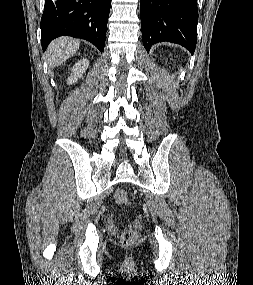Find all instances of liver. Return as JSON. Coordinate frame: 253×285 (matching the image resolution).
I'll use <instances>...</instances> for the list:
<instances>
[{"label": "liver", "instance_id": "6515ba94", "mask_svg": "<svg viewBox=\"0 0 253 285\" xmlns=\"http://www.w3.org/2000/svg\"><path fill=\"white\" fill-rule=\"evenodd\" d=\"M80 46L77 39L68 37L58 38L50 43L47 53V62L51 68L57 67L74 55Z\"/></svg>", "mask_w": 253, "mask_h": 285}]
</instances>
